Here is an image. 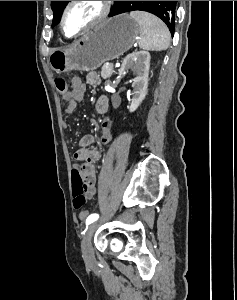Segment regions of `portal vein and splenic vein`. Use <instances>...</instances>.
<instances>
[{"instance_id": "1", "label": "portal vein and splenic vein", "mask_w": 237, "mask_h": 300, "mask_svg": "<svg viewBox=\"0 0 237 300\" xmlns=\"http://www.w3.org/2000/svg\"><path fill=\"white\" fill-rule=\"evenodd\" d=\"M109 64H110V65H109V68H112V65H111L112 63L110 62Z\"/></svg>"}]
</instances>
